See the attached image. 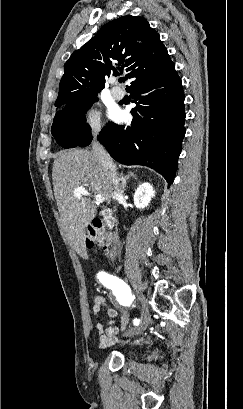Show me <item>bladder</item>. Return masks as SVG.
<instances>
[{"mask_svg": "<svg viewBox=\"0 0 243 409\" xmlns=\"http://www.w3.org/2000/svg\"><path fill=\"white\" fill-rule=\"evenodd\" d=\"M126 355L129 356V357H132V356L136 355V352L135 351H127Z\"/></svg>", "mask_w": 243, "mask_h": 409, "instance_id": "1", "label": "bladder"}]
</instances>
